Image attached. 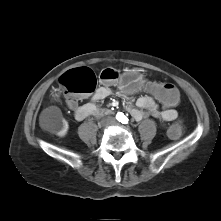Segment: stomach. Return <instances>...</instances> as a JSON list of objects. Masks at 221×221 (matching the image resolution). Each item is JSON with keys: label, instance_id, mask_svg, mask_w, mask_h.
I'll use <instances>...</instances> for the list:
<instances>
[{"label": "stomach", "instance_id": "1", "mask_svg": "<svg viewBox=\"0 0 221 221\" xmlns=\"http://www.w3.org/2000/svg\"><path fill=\"white\" fill-rule=\"evenodd\" d=\"M143 84V75L137 71L126 72L119 81L120 90L127 94H133Z\"/></svg>", "mask_w": 221, "mask_h": 221}]
</instances>
